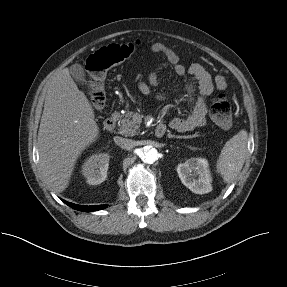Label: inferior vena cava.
Returning <instances> with one entry per match:
<instances>
[{"instance_id": "obj_1", "label": "inferior vena cava", "mask_w": 287, "mask_h": 287, "mask_svg": "<svg viewBox=\"0 0 287 287\" xmlns=\"http://www.w3.org/2000/svg\"><path fill=\"white\" fill-rule=\"evenodd\" d=\"M114 142L123 149L131 150L134 147V141L131 139L122 138L119 136L114 137Z\"/></svg>"}]
</instances>
